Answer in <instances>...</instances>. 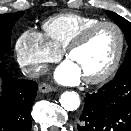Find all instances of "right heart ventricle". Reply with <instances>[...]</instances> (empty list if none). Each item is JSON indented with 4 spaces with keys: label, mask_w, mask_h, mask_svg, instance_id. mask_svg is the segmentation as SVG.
<instances>
[{
    "label": "right heart ventricle",
    "mask_w": 131,
    "mask_h": 131,
    "mask_svg": "<svg viewBox=\"0 0 131 131\" xmlns=\"http://www.w3.org/2000/svg\"><path fill=\"white\" fill-rule=\"evenodd\" d=\"M100 22V19L77 14L63 13L47 19L42 27L45 38L61 53L85 28Z\"/></svg>",
    "instance_id": "right-heart-ventricle-1"
}]
</instances>
